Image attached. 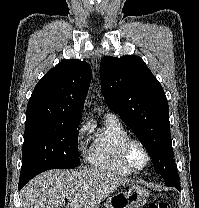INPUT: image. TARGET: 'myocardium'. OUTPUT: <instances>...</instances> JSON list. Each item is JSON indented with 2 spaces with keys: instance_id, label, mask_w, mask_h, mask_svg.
Segmentation results:
<instances>
[{
  "instance_id": "1",
  "label": "myocardium",
  "mask_w": 199,
  "mask_h": 208,
  "mask_svg": "<svg viewBox=\"0 0 199 208\" xmlns=\"http://www.w3.org/2000/svg\"><path fill=\"white\" fill-rule=\"evenodd\" d=\"M133 144L139 145L144 151L146 160H145L144 165L141 167H136L130 160L129 150ZM120 157H121L123 164L132 172H140L144 170L151 161V155L146 144L139 138H135V137H129L122 143L121 148H120Z\"/></svg>"
}]
</instances>
